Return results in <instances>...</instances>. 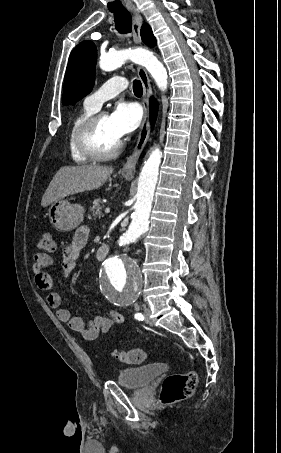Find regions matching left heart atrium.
<instances>
[{
  "label": "left heart atrium",
  "instance_id": "39dd6f15",
  "mask_svg": "<svg viewBox=\"0 0 281 453\" xmlns=\"http://www.w3.org/2000/svg\"><path fill=\"white\" fill-rule=\"evenodd\" d=\"M141 121L140 106L131 102L119 101L109 115L111 127L119 138L137 129Z\"/></svg>",
  "mask_w": 281,
  "mask_h": 453
}]
</instances>
